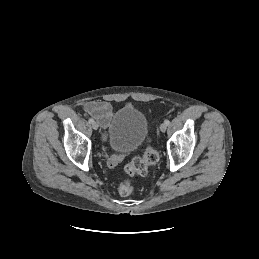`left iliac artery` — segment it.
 Wrapping results in <instances>:
<instances>
[{"label": "left iliac artery", "instance_id": "44dca946", "mask_svg": "<svg viewBox=\"0 0 259 259\" xmlns=\"http://www.w3.org/2000/svg\"><path fill=\"white\" fill-rule=\"evenodd\" d=\"M165 124L166 125H169L170 124V121L167 119V120H165Z\"/></svg>", "mask_w": 259, "mask_h": 259}]
</instances>
